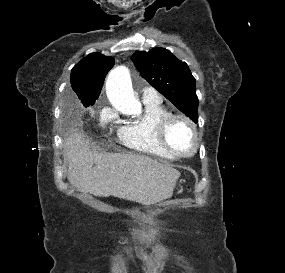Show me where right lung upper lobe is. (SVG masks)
<instances>
[{
    "mask_svg": "<svg viewBox=\"0 0 285 273\" xmlns=\"http://www.w3.org/2000/svg\"><path fill=\"white\" fill-rule=\"evenodd\" d=\"M114 63L115 60L112 57L91 53L73 67L70 78L71 86L83 105L95 103L105 76Z\"/></svg>",
    "mask_w": 285,
    "mask_h": 273,
    "instance_id": "1",
    "label": "right lung upper lobe"
}]
</instances>
